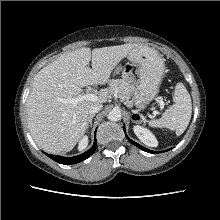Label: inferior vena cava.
Listing matches in <instances>:
<instances>
[{"label": "inferior vena cava", "instance_id": "602c4592", "mask_svg": "<svg viewBox=\"0 0 220 220\" xmlns=\"http://www.w3.org/2000/svg\"><path fill=\"white\" fill-rule=\"evenodd\" d=\"M101 108H102L101 104H95V105L91 106L88 110L90 117L92 115H95L96 113H98L101 110Z\"/></svg>", "mask_w": 220, "mask_h": 220}]
</instances>
